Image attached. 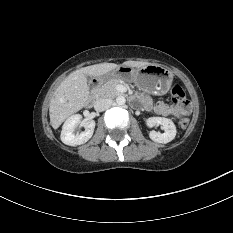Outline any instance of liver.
<instances>
[{
    "label": "liver",
    "instance_id": "obj_1",
    "mask_svg": "<svg viewBox=\"0 0 233 233\" xmlns=\"http://www.w3.org/2000/svg\"><path fill=\"white\" fill-rule=\"evenodd\" d=\"M150 63L126 61L123 65L141 68ZM118 67L115 63H101L81 68L72 72L56 89L50 100V123L57 129L66 118L81 110L89 97L86 76L98 77Z\"/></svg>",
    "mask_w": 233,
    "mask_h": 233
}]
</instances>
